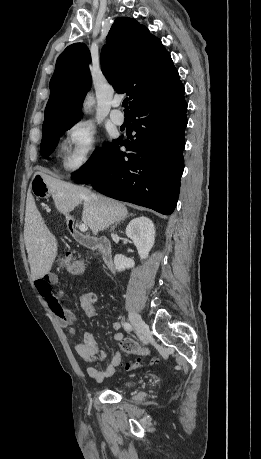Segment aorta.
<instances>
[{
  "mask_svg": "<svg viewBox=\"0 0 261 459\" xmlns=\"http://www.w3.org/2000/svg\"><path fill=\"white\" fill-rule=\"evenodd\" d=\"M94 103V99L92 96H87L86 100H85V105H84V108L86 110H88Z\"/></svg>",
  "mask_w": 261,
  "mask_h": 459,
  "instance_id": "aorta-1",
  "label": "aorta"
}]
</instances>
